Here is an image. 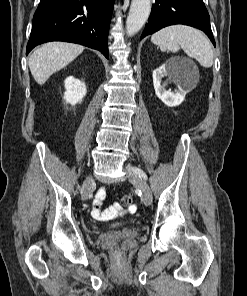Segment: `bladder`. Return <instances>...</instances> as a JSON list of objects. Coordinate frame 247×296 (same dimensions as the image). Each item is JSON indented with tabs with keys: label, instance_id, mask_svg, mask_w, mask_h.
I'll list each match as a JSON object with an SVG mask.
<instances>
[{
	"label": "bladder",
	"instance_id": "31cf9c89",
	"mask_svg": "<svg viewBox=\"0 0 247 296\" xmlns=\"http://www.w3.org/2000/svg\"><path fill=\"white\" fill-rule=\"evenodd\" d=\"M113 227H124L127 226V223L113 224Z\"/></svg>",
	"mask_w": 247,
	"mask_h": 296
}]
</instances>
